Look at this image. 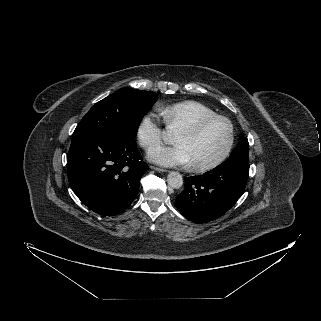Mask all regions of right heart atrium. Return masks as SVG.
Segmentation results:
<instances>
[{
    "label": "right heart atrium",
    "mask_w": 321,
    "mask_h": 321,
    "mask_svg": "<svg viewBox=\"0 0 321 321\" xmlns=\"http://www.w3.org/2000/svg\"><path fill=\"white\" fill-rule=\"evenodd\" d=\"M137 138L143 148L159 143L163 138V127L154 112L145 115L137 128Z\"/></svg>",
    "instance_id": "d8ad5b80"
}]
</instances>
